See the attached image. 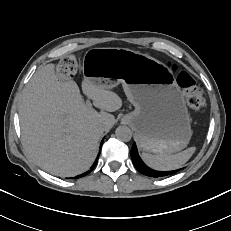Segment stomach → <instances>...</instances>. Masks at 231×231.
<instances>
[{
    "mask_svg": "<svg viewBox=\"0 0 231 231\" xmlns=\"http://www.w3.org/2000/svg\"><path fill=\"white\" fill-rule=\"evenodd\" d=\"M84 77L110 89L122 83L135 110L123 116L135 131L141 150L173 154L192 136L184 95L172 71L162 62L123 48H95L83 60Z\"/></svg>",
    "mask_w": 231,
    "mask_h": 231,
    "instance_id": "1",
    "label": "stomach"
}]
</instances>
